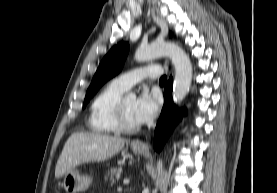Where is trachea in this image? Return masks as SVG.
Instances as JSON below:
<instances>
[{
  "label": "trachea",
  "instance_id": "1",
  "mask_svg": "<svg viewBox=\"0 0 277 193\" xmlns=\"http://www.w3.org/2000/svg\"><path fill=\"white\" fill-rule=\"evenodd\" d=\"M167 80V77L166 76H162L159 80L160 83H165Z\"/></svg>",
  "mask_w": 277,
  "mask_h": 193
}]
</instances>
